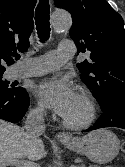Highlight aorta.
<instances>
[{"label":"aorta","mask_w":125,"mask_h":167,"mask_svg":"<svg viewBox=\"0 0 125 167\" xmlns=\"http://www.w3.org/2000/svg\"><path fill=\"white\" fill-rule=\"evenodd\" d=\"M52 24L55 31L63 32L71 26L72 19L66 12H55L52 16Z\"/></svg>","instance_id":"1"}]
</instances>
